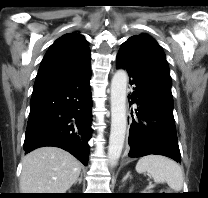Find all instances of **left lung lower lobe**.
<instances>
[{
  "mask_svg": "<svg viewBox=\"0 0 208 198\" xmlns=\"http://www.w3.org/2000/svg\"><path fill=\"white\" fill-rule=\"evenodd\" d=\"M116 68L128 71L133 85L131 104L138 105L137 119H133L129 130L128 156L158 154L181 162L172 93L159 83L135 45H121Z\"/></svg>",
  "mask_w": 208,
  "mask_h": 198,
  "instance_id": "0a47b994",
  "label": "left lung lower lobe"
}]
</instances>
